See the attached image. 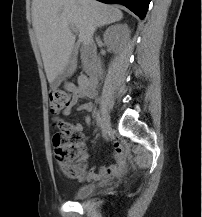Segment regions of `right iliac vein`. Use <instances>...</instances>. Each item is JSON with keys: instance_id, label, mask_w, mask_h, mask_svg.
<instances>
[{"instance_id": "right-iliac-vein-1", "label": "right iliac vein", "mask_w": 202, "mask_h": 217, "mask_svg": "<svg viewBox=\"0 0 202 217\" xmlns=\"http://www.w3.org/2000/svg\"><path fill=\"white\" fill-rule=\"evenodd\" d=\"M101 129L103 136H106L110 129V120L105 111L103 112V116L101 119Z\"/></svg>"}]
</instances>
